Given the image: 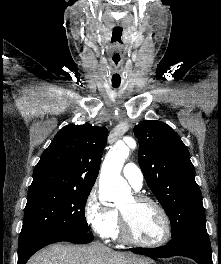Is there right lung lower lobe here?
<instances>
[{"instance_id":"right-lung-lower-lobe-1","label":"right lung lower lobe","mask_w":221,"mask_h":264,"mask_svg":"<svg viewBox=\"0 0 221 264\" xmlns=\"http://www.w3.org/2000/svg\"><path fill=\"white\" fill-rule=\"evenodd\" d=\"M93 239L94 236L90 232L83 234H51L28 238L19 243L17 264H25L36 251L52 243L67 241L86 244Z\"/></svg>"}]
</instances>
